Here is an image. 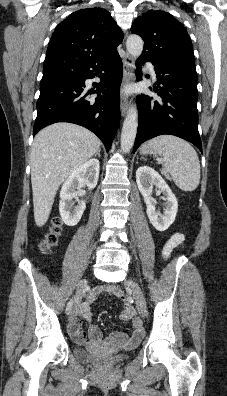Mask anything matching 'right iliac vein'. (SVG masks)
<instances>
[{
    "label": "right iliac vein",
    "mask_w": 227,
    "mask_h": 396,
    "mask_svg": "<svg viewBox=\"0 0 227 396\" xmlns=\"http://www.w3.org/2000/svg\"><path fill=\"white\" fill-rule=\"evenodd\" d=\"M86 287H87V281L81 280L77 286L76 289V294H75V298L74 301L72 303L71 306V310H70V314H69V320L71 321L79 312V307H80V303L81 300L85 294L86 291Z\"/></svg>",
    "instance_id": "obj_1"
}]
</instances>
